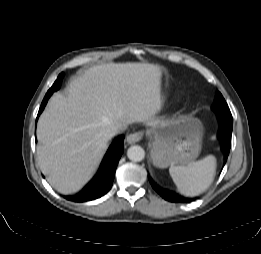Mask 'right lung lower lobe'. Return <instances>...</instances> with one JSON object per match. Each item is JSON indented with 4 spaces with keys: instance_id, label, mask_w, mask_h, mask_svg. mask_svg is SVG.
<instances>
[{
    "instance_id": "98d812e1",
    "label": "right lung lower lobe",
    "mask_w": 261,
    "mask_h": 254,
    "mask_svg": "<svg viewBox=\"0 0 261 254\" xmlns=\"http://www.w3.org/2000/svg\"><path fill=\"white\" fill-rule=\"evenodd\" d=\"M62 78L63 74L61 73L53 86L48 90L40 106L37 119L43 111L49 97L54 91L60 88ZM123 145L124 136H120L114 140L105 154L95 177L83 188L81 192L73 196H65V198L71 201L84 202L99 198L106 194L112 186L117 164L124 151Z\"/></svg>"
}]
</instances>
